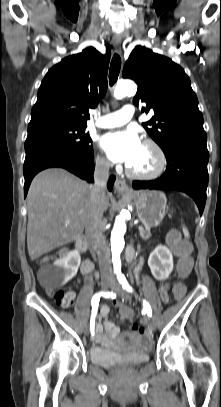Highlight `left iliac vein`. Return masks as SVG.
Returning <instances> with one entry per match:
<instances>
[{"instance_id": "1", "label": "left iliac vein", "mask_w": 221, "mask_h": 407, "mask_svg": "<svg viewBox=\"0 0 221 407\" xmlns=\"http://www.w3.org/2000/svg\"><path fill=\"white\" fill-rule=\"evenodd\" d=\"M111 289L115 291L121 298L129 300L128 294L118 284L113 283L111 285ZM148 327L151 331H154L156 329L154 321L150 318H148Z\"/></svg>"}]
</instances>
